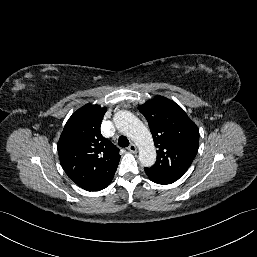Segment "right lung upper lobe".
<instances>
[{"label":"right lung upper lobe","instance_id":"right-lung-upper-lobe-1","mask_svg":"<svg viewBox=\"0 0 257 257\" xmlns=\"http://www.w3.org/2000/svg\"><path fill=\"white\" fill-rule=\"evenodd\" d=\"M106 110L97 104L78 109L67 121L57 146L64 171L87 191L107 187L120 160L119 149L100 132Z\"/></svg>","mask_w":257,"mask_h":257}]
</instances>
